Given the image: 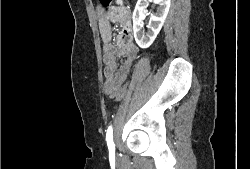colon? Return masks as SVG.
Masks as SVG:
<instances>
[{"label": "colon", "mask_w": 250, "mask_h": 169, "mask_svg": "<svg viewBox=\"0 0 250 169\" xmlns=\"http://www.w3.org/2000/svg\"><path fill=\"white\" fill-rule=\"evenodd\" d=\"M97 3H101L106 9H109L111 7L110 0H97ZM149 59H154V54H149ZM127 87L128 82H123V87H120L117 93H111V95H117V98H114L113 100H116L117 102H122V97L127 96Z\"/></svg>", "instance_id": "colon-1"}]
</instances>
